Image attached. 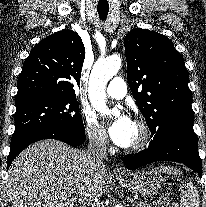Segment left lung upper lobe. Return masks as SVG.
I'll return each instance as SVG.
<instances>
[{
  "mask_svg": "<svg viewBox=\"0 0 206 207\" xmlns=\"http://www.w3.org/2000/svg\"><path fill=\"white\" fill-rule=\"evenodd\" d=\"M124 45L129 86L153 136L148 147H155L174 133L193 131L188 70L171 40L137 28L126 35Z\"/></svg>",
  "mask_w": 206,
  "mask_h": 207,
  "instance_id": "5c2ea615",
  "label": "left lung upper lobe"
}]
</instances>
